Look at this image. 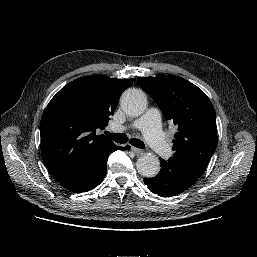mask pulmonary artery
<instances>
[{
    "label": "pulmonary artery",
    "instance_id": "pulmonary-artery-1",
    "mask_svg": "<svg viewBox=\"0 0 257 257\" xmlns=\"http://www.w3.org/2000/svg\"><path fill=\"white\" fill-rule=\"evenodd\" d=\"M133 127L142 131L148 144L158 156L169 157L171 155L172 150L161 130L160 115L157 109H149L140 119L134 122ZM118 128L120 130L125 129L124 127Z\"/></svg>",
    "mask_w": 257,
    "mask_h": 257
}]
</instances>
